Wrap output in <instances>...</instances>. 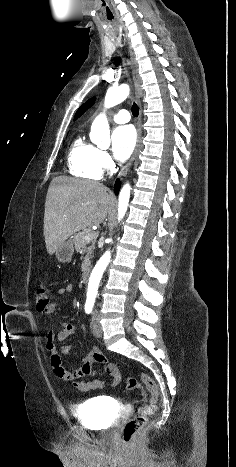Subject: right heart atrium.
<instances>
[{
    "instance_id": "right-heart-atrium-1",
    "label": "right heart atrium",
    "mask_w": 236,
    "mask_h": 467,
    "mask_svg": "<svg viewBox=\"0 0 236 467\" xmlns=\"http://www.w3.org/2000/svg\"><path fill=\"white\" fill-rule=\"evenodd\" d=\"M96 160L101 171H109L114 167V162L111 156L105 150H97Z\"/></svg>"
}]
</instances>
